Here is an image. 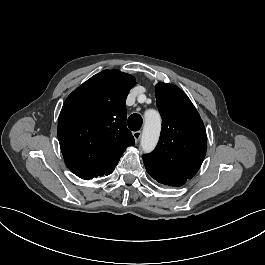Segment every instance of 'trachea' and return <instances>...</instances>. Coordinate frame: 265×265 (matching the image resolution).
I'll return each instance as SVG.
<instances>
[{
    "label": "trachea",
    "instance_id": "1",
    "mask_svg": "<svg viewBox=\"0 0 265 265\" xmlns=\"http://www.w3.org/2000/svg\"><path fill=\"white\" fill-rule=\"evenodd\" d=\"M127 123H128V127L130 128V130L138 131L142 126L143 119L139 114L134 113L130 115Z\"/></svg>",
    "mask_w": 265,
    "mask_h": 265
}]
</instances>
